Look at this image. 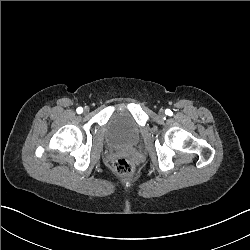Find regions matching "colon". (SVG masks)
<instances>
[{"instance_id":"colon-1","label":"colon","mask_w":250,"mask_h":250,"mask_svg":"<svg viewBox=\"0 0 250 250\" xmlns=\"http://www.w3.org/2000/svg\"><path fill=\"white\" fill-rule=\"evenodd\" d=\"M135 168V162L124 155L118 156L113 165L114 171L124 178L130 177L134 173Z\"/></svg>"}]
</instances>
